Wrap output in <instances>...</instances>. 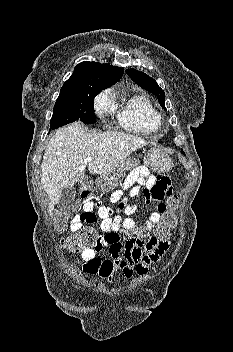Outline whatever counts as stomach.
I'll return each instance as SVG.
<instances>
[{"mask_svg":"<svg viewBox=\"0 0 233 352\" xmlns=\"http://www.w3.org/2000/svg\"><path fill=\"white\" fill-rule=\"evenodd\" d=\"M146 165L157 173L168 172L172 167L170 157L159 149L152 148L146 155ZM138 166L135 158H128L114 170L101 175L97 180V187L102 191L115 189L122 181L126 171Z\"/></svg>","mask_w":233,"mask_h":352,"instance_id":"1","label":"stomach"}]
</instances>
